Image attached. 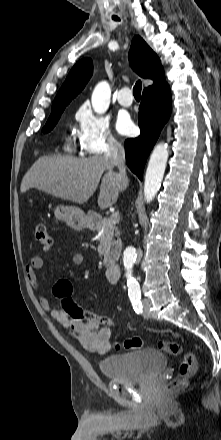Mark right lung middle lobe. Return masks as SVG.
<instances>
[{"label": "right lung middle lobe", "instance_id": "right-lung-middle-lobe-1", "mask_svg": "<svg viewBox=\"0 0 221 440\" xmlns=\"http://www.w3.org/2000/svg\"><path fill=\"white\" fill-rule=\"evenodd\" d=\"M64 109H65L64 106L52 109L51 115H50L46 125L42 129L43 132L47 133L54 128V126L57 124Z\"/></svg>", "mask_w": 221, "mask_h": 440}]
</instances>
